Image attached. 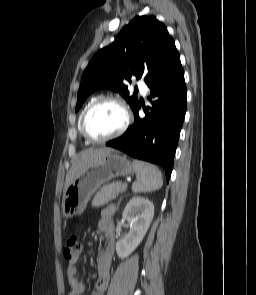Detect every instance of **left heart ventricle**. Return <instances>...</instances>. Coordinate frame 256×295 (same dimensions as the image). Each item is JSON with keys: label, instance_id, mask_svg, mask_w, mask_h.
<instances>
[{"label": "left heart ventricle", "instance_id": "left-heart-ventricle-1", "mask_svg": "<svg viewBox=\"0 0 256 295\" xmlns=\"http://www.w3.org/2000/svg\"><path fill=\"white\" fill-rule=\"evenodd\" d=\"M122 110L113 103H103L89 114L87 129L96 138H103L115 133L123 124Z\"/></svg>", "mask_w": 256, "mask_h": 295}]
</instances>
